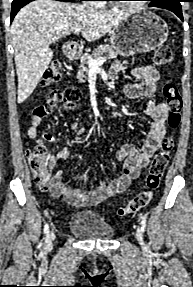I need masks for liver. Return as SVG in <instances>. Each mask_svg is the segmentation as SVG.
I'll use <instances>...</instances> for the list:
<instances>
[{
  "instance_id": "liver-1",
  "label": "liver",
  "mask_w": 193,
  "mask_h": 287,
  "mask_svg": "<svg viewBox=\"0 0 193 287\" xmlns=\"http://www.w3.org/2000/svg\"><path fill=\"white\" fill-rule=\"evenodd\" d=\"M131 12L99 10L88 4L35 0L23 7L11 25L18 76L17 102H24L48 68L50 44L82 28V36L96 41L118 26Z\"/></svg>"
}]
</instances>
